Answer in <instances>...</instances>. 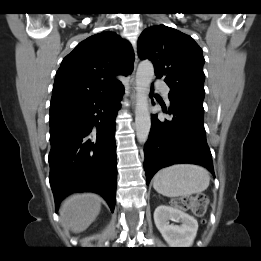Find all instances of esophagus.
<instances>
[{
    "instance_id": "obj_1",
    "label": "esophagus",
    "mask_w": 261,
    "mask_h": 261,
    "mask_svg": "<svg viewBox=\"0 0 261 261\" xmlns=\"http://www.w3.org/2000/svg\"><path fill=\"white\" fill-rule=\"evenodd\" d=\"M137 63H138V56H137V52L135 53V62H134V72H133V76H132V79H131V85L134 86L135 85V81H134V74H135V70H136V67H137ZM132 102L134 103L135 102V94L133 93L132 96Z\"/></svg>"
}]
</instances>
